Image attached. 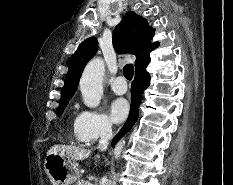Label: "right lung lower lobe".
I'll return each mask as SVG.
<instances>
[{
    "instance_id": "obj_1",
    "label": "right lung lower lobe",
    "mask_w": 233,
    "mask_h": 185,
    "mask_svg": "<svg viewBox=\"0 0 233 185\" xmlns=\"http://www.w3.org/2000/svg\"><path fill=\"white\" fill-rule=\"evenodd\" d=\"M149 84H150V74L146 71V67L136 70L135 79L131 87L132 99H131L130 113L127 122L122 128L121 134H124L127 131H129L137 121L139 116L138 107L143 98L142 94L143 91L149 86ZM117 139L118 137L114 139L113 145L115 144Z\"/></svg>"
}]
</instances>
